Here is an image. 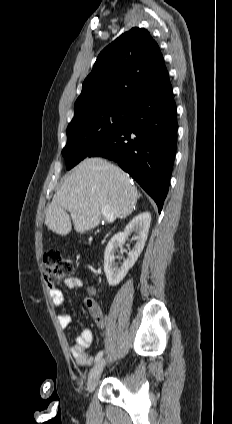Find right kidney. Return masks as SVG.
<instances>
[{"mask_svg":"<svg viewBox=\"0 0 232 424\" xmlns=\"http://www.w3.org/2000/svg\"><path fill=\"white\" fill-rule=\"evenodd\" d=\"M150 223L151 214L149 212L140 213L130 221L123 232L115 234L108 242L104 253V272L110 286L118 285L137 261L145 246ZM133 231L137 233L136 244L133 250L128 253V258L118 268L115 264V251L125 243L126 238Z\"/></svg>","mask_w":232,"mask_h":424,"instance_id":"right-kidney-1","label":"right kidney"}]
</instances>
